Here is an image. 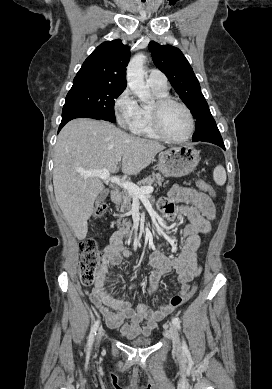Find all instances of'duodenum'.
Wrapping results in <instances>:
<instances>
[{
    "instance_id": "duodenum-1",
    "label": "duodenum",
    "mask_w": 272,
    "mask_h": 389,
    "mask_svg": "<svg viewBox=\"0 0 272 389\" xmlns=\"http://www.w3.org/2000/svg\"><path fill=\"white\" fill-rule=\"evenodd\" d=\"M111 198L115 203H119L121 201V194L114 190L111 192ZM117 235L120 239L130 238L133 236L131 233L125 232L124 230H119Z\"/></svg>"
}]
</instances>
